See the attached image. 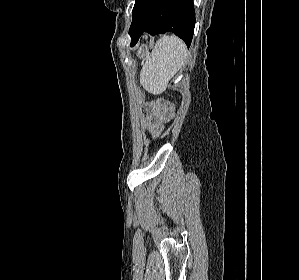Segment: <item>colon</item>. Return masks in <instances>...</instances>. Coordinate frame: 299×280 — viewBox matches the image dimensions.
<instances>
[{
	"label": "colon",
	"mask_w": 299,
	"mask_h": 280,
	"mask_svg": "<svg viewBox=\"0 0 299 280\" xmlns=\"http://www.w3.org/2000/svg\"><path fill=\"white\" fill-rule=\"evenodd\" d=\"M158 107H160L164 112L168 113L170 116L173 114V106L167 101H159Z\"/></svg>",
	"instance_id": "5ec220e1"
}]
</instances>
